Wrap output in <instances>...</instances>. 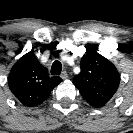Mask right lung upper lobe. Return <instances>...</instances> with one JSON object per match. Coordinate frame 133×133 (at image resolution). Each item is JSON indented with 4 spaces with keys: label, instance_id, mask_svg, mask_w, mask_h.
<instances>
[{
    "label": "right lung upper lobe",
    "instance_id": "right-lung-upper-lobe-1",
    "mask_svg": "<svg viewBox=\"0 0 133 133\" xmlns=\"http://www.w3.org/2000/svg\"><path fill=\"white\" fill-rule=\"evenodd\" d=\"M62 79L50 77L32 52L22 56L12 67L8 83L11 92L25 106L33 107L44 102Z\"/></svg>",
    "mask_w": 133,
    "mask_h": 133
}]
</instances>
